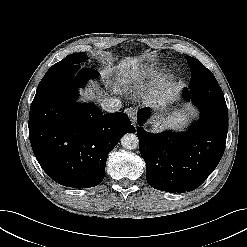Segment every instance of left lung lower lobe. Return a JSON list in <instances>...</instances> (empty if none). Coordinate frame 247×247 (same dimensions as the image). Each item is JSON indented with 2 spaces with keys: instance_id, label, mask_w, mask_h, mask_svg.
Here are the masks:
<instances>
[{
  "instance_id": "1",
  "label": "left lung lower lobe",
  "mask_w": 247,
  "mask_h": 247,
  "mask_svg": "<svg viewBox=\"0 0 247 247\" xmlns=\"http://www.w3.org/2000/svg\"><path fill=\"white\" fill-rule=\"evenodd\" d=\"M183 98L192 100L201 113L199 121L183 133H147L142 126L150 117V108L137 112V136L147 182L171 193L192 191L207 179L222 158L228 131L224 94L206 67L190 79Z\"/></svg>"
}]
</instances>
